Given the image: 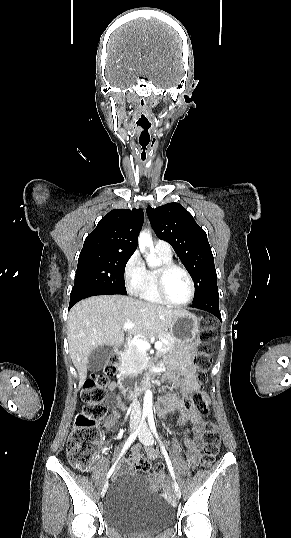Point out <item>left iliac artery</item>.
I'll list each match as a JSON object with an SVG mask.
<instances>
[{
	"label": "left iliac artery",
	"mask_w": 291,
	"mask_h": 538,
	"mask_svg": "<svg viewBox=\"0 0 291 538\" xmlns=\"http://www.w3.org/2000/svg\"><path fill=\"white\" fill-rule=\"evenodd\" d=\"M148 423H149L151 431L153 432L154 436L156 437V439L160 443L161 451H162V453L164 455V458L166 460L169 472H170L172 478L175 480V473H174V470H173L171 460H170V458L168 456V453H167V451L165 449V446L163 445L162 441L160 440V438L158 436L156 426H155V422H154V416H153L152 412L148 413Z\"/></svg>",
	"instance_id": "44dca946"
}]
</instances>
